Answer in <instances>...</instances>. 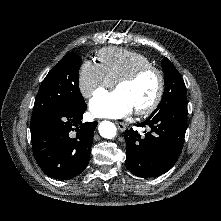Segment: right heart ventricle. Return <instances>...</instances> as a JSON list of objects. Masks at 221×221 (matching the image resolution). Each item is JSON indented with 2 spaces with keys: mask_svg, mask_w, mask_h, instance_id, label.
I'll return each mask as SVG.
<instances>
[{
  "mask_svg": "<svg viewBox=\"0 0 221 221\" xmlns=\"http://www.w3.org/2000/svg\"><path fill=\"white\" fill-rule=\"evenodd\" d=\"M97 60L107 75L115 82L137 67L152 65V61L146 55L118 47L101 49L97 54Z\"/></svg>",
  "mask_w": 221,
  "mask_h": 221,
  "instance_id": "e07e8e85",
  "label": "right heart ventricle"
}]
</instances>
